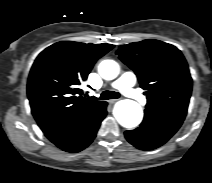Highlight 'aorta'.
<instances>
[{
	"mask_svg": "<svg viewBox=\"0 0 212 183\" xmlns=\"http://www.w3.org/2000/svg\"><path fill=\"white\" fill-rule=\"evenodd\" d=\"M99 74L106 80H112L119 74V65L113 60H104L98 67ZM114 116L119 124L125 128H134L140 124L143 111L133 100H121L114 107Z\"/></svg>",
	"mask_w": 212,
	"mask_h": 183,
	"instance_id": "762f6f07",
	"label": "aorta"
}]
</instances>
